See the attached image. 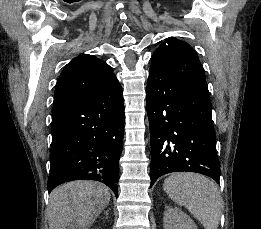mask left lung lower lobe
Returning <instances> with one entry per match:
<instances>
[{"instance_id": "obj_1", "label": "left lung lower lobe", "mask_w": 261, "mask_h": 229, "mask_svg": "<svg viewBox=\"0 0 261 229\" xmlns=\"http://www.w3.org/2000/svg\"><path fill=\"white\" fill-rule=\"evenodd\" d=\"M151 186L172 172L220 179L216 135L206 81L151 69L147 81Z\"/></svg>"}]
</instances>
